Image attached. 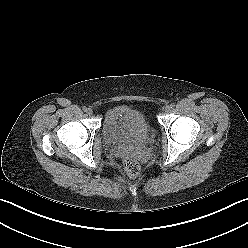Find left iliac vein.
I'll use <instances>...</instances> for the list:
<instances>
[{
    "label": "left iliac vein",
    "mask_w": 248,
    "mask_h": 248,
    "mask_svg": "<svg viewBox=\"0 0 248 248\" xmlns=\"http://www.w3.org/2000/svg\"><path fill=\"white\" fill-rule=\"evenodd\" d=\"M163 109L166 113H169L171 111V107L169 105H165Z\"/></svg>",
    "instance_id": "4c4485c4"
}]
</instances>
